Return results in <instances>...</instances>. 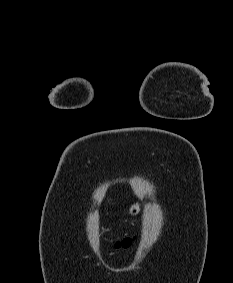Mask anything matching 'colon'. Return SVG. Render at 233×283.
Listing matches in <instances>:
<instances>
[{
    "mask_svg": "<svg viewBox=\"0 0 233 283\" xmlns=\"http://www.w3.org/2000/svg\"><path fill=\"white\" fill-rule=\"evenodd\" d=\"M132 242H133V238H124L121 241H118L116 243V247H118V248H121V247L122 248H127V247H129L132 244Z\"/></svg>",
    "mask_w": 233,
    "mask_h": 283,
    "instance_id": "5ec220e1",
    "label": "colon"
}]
</instances>
